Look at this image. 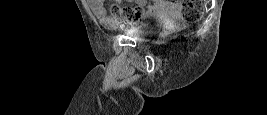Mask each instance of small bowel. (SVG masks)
Returning a JSON list of instances; mask_svg holds the SVG:
<instances>
[{
  "label": "small bowel",
  "mask_w": 267,
  "mask_h": 115,
  "mask_svg": "<svg viewBox=\"0 0 267 115\" xmlns=\"http://www.w3.org/2000/svg\"><path fill=\"white\" fill-rule=\"evenodd\" d=\"M88 2L92 11L97 17L101 19L107 18L103 0H89ZM130 2H135L137 4H145V2L142 0H136V1L130 0ZM147 8L150 14L164 15L168 12L176 11L178 9V6L166 2L164 0H154L150 5H148Z\"/></svg>",
  "instance_id": "small-bowel-1"
}]
</instances>
